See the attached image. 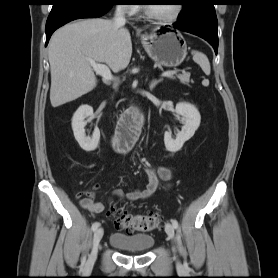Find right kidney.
Listing matches in <instances>:
<instances>
[{"label":"right kidney","instance_id":"ca27d5eb","mask_svg":"<svg viewBox=\"0 0 278 278\" xmlns=\"http://www.w3.org/2000/svg\"><path fill=\"white\" fill-rule=\"evenodd\" d=\"M93 116V108L89 105H81L72 118V129L74 137L79 146L87 152L94 151L100 140V131L96 127L91 137L85 134L86 118Z\"/></svg>","mask_w":278,"mask_h":278}]
</instances>
